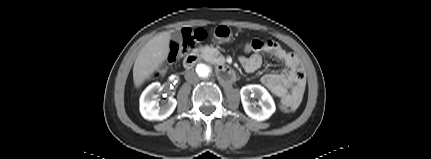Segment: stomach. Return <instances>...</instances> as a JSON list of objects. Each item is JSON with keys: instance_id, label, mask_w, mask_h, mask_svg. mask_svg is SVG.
<instances>
[{"instance_id": "1", "label": "stomach", "mask_w": 431, "mask_h": 159, "mask_svg": "<svg viewBox=\"0 0 431 159\" xmlns=\"http://www.w3.org/2000/svg\"><path fill=\"white\" fill-rule=\"evenodd\" d=\"M232 31L226 25H219L214 29V38L218 43H226L231 40Z\"/></svg>"}]
</instances>
